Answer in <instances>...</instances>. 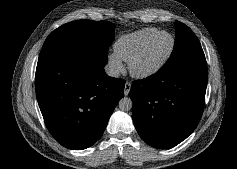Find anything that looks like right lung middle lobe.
<instances>
[{
  "label": "right lung middle lobe",
  "mask_w": 237,
  "mask_h": 169,
  "mask_svg": "<svg viewBox=\"0 0 237 169\" xmlns=\"http://www.w3.org/2000/svg\"><path fill=\"white\" fill-rule=\"evenodd\" d=\"M115 25L108 21L79 20L64 24L46 39L42 50L94 48L107 52L114 40Z\"/></svg>",
  "instance_id": "right-lung-middle-lobe-1"
}]
</instances>
